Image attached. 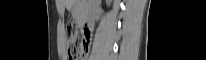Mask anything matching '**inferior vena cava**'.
Listing matches in <instances>:
<instances>
[{
	"instance_id": "inferior-vena-cava-1",
	"label": "inferior vena cava",
	"mask_w": 206,
	"mask_h": 60,
	"mask_svg": "<svg viewBox=\"0 0 206 60\" xmlns=\"http://www.w3.org/2000/svg\"><path fill=\"white\" fill-rule=\"evenodd\" d=\"M93 19H94L93 14L90 13V20H93Z\"/></svg>"
}]
</instances>
